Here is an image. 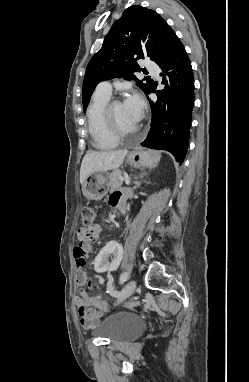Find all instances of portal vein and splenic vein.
Here are the masks:
<instances>
[{
    "mask_svg": "<svg viewBox=\"0 0 249 382\" xmlns=\"http://www.w3.org/2000/svg\"><path fill=\"white\" fill-rule=\"evenodd\" d=\"M119 180H120V181H124L125 179H124L122 176H120V177H119ZM125 182H126L127 185L130 184V181L127 180V179L125 180Z\"/></svg>",
    "mask_w": 249,
    "mask_h": 382,
    "instance_id": "obj_1",
    "label": "portal vein and splenic vein"
}]
</instances>
